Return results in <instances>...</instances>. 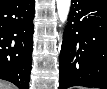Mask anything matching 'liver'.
<instances>
[{"mask_svg": "<svg viewBox=\"0 0 107 89\" xmlns=\"http://www.w3.org/2000/svg\"><path fill=\"white\" fill-rule=\"evenodd\" d=\"M0 89H15V86L9 83L1 82Z\"/></svg>", "mask_w": 107, "mask_h": 89, "instance_id": "6515ba94", "label": "liver"}]
</instances>
